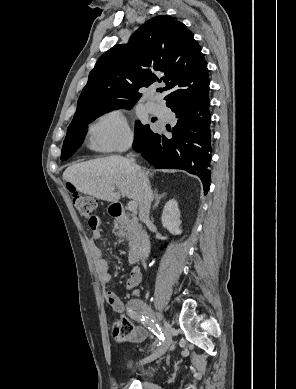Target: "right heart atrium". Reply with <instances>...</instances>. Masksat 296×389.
I'll return each instance as SVG.
<instances>
[{"label": "right heart atrium", "instance_id": "right-heart-atrium-1", "mask_svg": "<svg viewBox=\"0 0 296 389\" xmlns=\"http://www.w3.org/2000/svg\"><path fill=\"white\" fill-rule=\"evenodd\" d=\"M91 146L99 151H116L127 148L132 133L123 111L112 108L102 113L90 128Z\"/></svg>", "mask_w": 296, "mask_h": 389}]
</instances>
